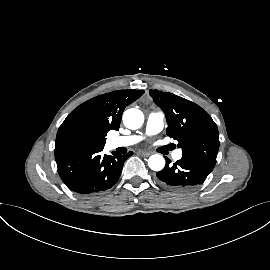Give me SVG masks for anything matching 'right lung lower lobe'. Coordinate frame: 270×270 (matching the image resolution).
<instances>
[{
	"mask_svg": "<svg viewBox=\"0 0 270 270\" xmlns=\"http://www.w3.org/2000/svg\"><path fill=\"white\" fill-rule=\"evenodd\" d=\"M104 147H80L55 151L58 173L72 191L86 196L99 194L115 185L127 155H101Z\"/></svg>",
	"mask_w": 270,
	"mask_h": 270,
	"instance_id": "1",
	"label": "right lung lower lobe"
}]
</instances>
